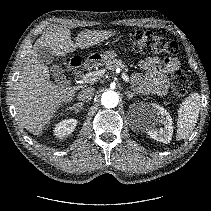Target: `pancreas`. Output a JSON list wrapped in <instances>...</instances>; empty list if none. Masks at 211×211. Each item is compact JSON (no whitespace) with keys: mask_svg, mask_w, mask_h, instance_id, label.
<instances>
[{"mask_svg":"<svg viewBox=\"0 0 211 211\" xmlns=\"http://www.w3.org/2000/svg\"><path fill=\"white\" fill-rule=\"evenodd\" d=\"M116 68H121L124 72H128V68L122 60L114 59L106 64V69L108 70H114Z\"/></svg>","mask_w":211,"mask_h":211,"instance_id":"cf45deb5","label":"pancreas"}]
</instances>
